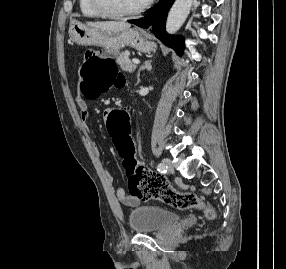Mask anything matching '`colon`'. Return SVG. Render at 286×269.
<instances>
[{
	"instance_id": "obj_1",
	"label": "colon",
	"mask_w": 286,
	"mask_h": 269,
	"mask_svg": "<svg viewBox=\"0 0 286 269\" xmlns=\"http://www.w3.org/2000/svg\"><path fill=\"white\" fill-rule=\"evenodd\" d=\"M121 49H92L84 54L80 68V89L86 98H93L110 86L120 87L123 82L114 61ZM107 116L109 136L113 142L114 155L122 159L128 176V190L134 197L148 199L157 197L178 209H203L206 219H213L215 212L194 194H177L171 190L166 180L144 169V163H137L136 139L130 137L132 114L124 106H111Z\"/></svg>"
}]
</instances>
